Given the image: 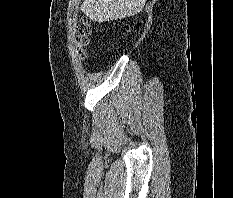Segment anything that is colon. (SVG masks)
<instances>
[{
    "label": "colon",
    "instance_id": "colon-1",
    "mask_svg": "<svg viewBox=\"0 0 233 198\" xmlns=\"http://www.w3.org/2000/svg\"><path fill=\"white\" fill-rule=\"evenodd\" d=\"M93 35V28L91 22L87 18H83L77 29L76 44L78 51L81 55L85 54L86 49L91 44V38Z\"/></svg>",
    "mask_w": 233,
    "mask_h": 198
}]
</instances>
